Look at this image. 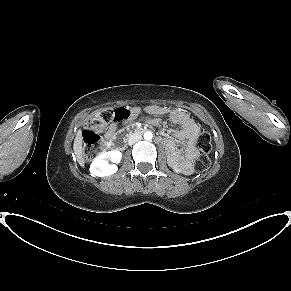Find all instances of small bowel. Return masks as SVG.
Returning a JSON list of instances; mask_svg holds the SVG:
<instances>
[{
  "label": "small bowel",
  "mask_w": 291,
  "mask_h": 291,
  "mask_svg": "<svg viewBox=\"0 0 291 291\" xmlns=\"http://www.w3.org/2000/svg\"><path fill=\"white\" fill-rule=\"evenodd\" d=\"M144 111L153 115H167L172 123L178 124L180 126V128L175 131L174 135L176 138L186 142L184 155H181L171 140L167 139L164 141V143L167 146L171 161L177 164L182 172L186 174L191 173V162L197 155V150L194 143L199 132V127L196 122L187 112L177 108H167L163 106L151 105L144 108ZM140 112L141 108L134 107L130 110V115L128 118L113 122L109 126L105 135L107 141L110 143L113 142V139L116 137L119 122L126 123L127 119H135L140 114ZM150 122L154 125L159 124V120L157 118L151 119Z\"/></svg>",
  "instance_id": "1"
}]
</instances>
